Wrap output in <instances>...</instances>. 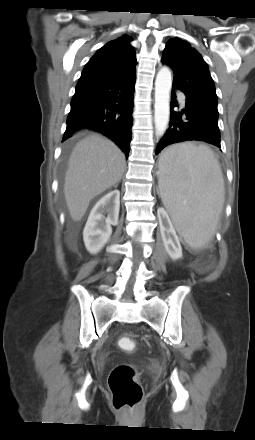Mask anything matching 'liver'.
<instances>
[{"mask_svg":"<svg viewBox=\"0 0 255 440\" xmlns=\"http://www.w3.org/2000/svg\"><path fill=\"white\" fill-rule=\"evenodd\" d=\"M125 155L109 139L90 135L74 147L65 175L64 196L73 221H80L89 203L120 182Z\"/></svg>","mask_w":255,"mask_h":440,"instance_id":"1","label":"liver"}]
</instances>
